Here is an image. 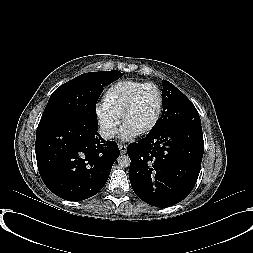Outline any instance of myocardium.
Here are the masks:
<instances>
[{
    "label": "myocardium",
    "instance_id": "1",
    "mask_svg": "<svg viewBox=\"0 0 253 253\" xmlns=\"http://www.w3.org/2000/svg\"><path fill=\"white\" fill-rule=\"evenodd\" d=\"M147 87H153L157 90L158 95H159V104H158V109L156 111V114H155L152 122L145 129L135 132V135H138V136L147 135L150 132H152L155 129V127L157 126V124L161 118L163 108H164L165 98H164V93H163L162 89L160 88V86H158L156 83H153V82H145L142 85H140L139 87H137L132 92V94L130 95L128 100L126 101V103L122 109V112L120 114L121 122L123 125H125V119H126L128 113L133 108L140 93Z\"/></svg>",
    "mask_w": 253,
    "mask_h": 253
}]
</instances>
